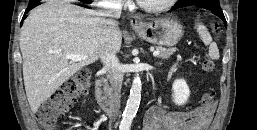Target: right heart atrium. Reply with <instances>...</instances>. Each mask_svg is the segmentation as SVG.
<instances>
[{
	"label": "right heart atrium",
	"instance_id": "obj_1",
	"mask_svg": "<svg viewBox=\"0 0 257 130\" xmlns=\"http://www.w3.org/2000/svg\"><path fill=\"white\" fill-rule=\"evenodd\" d=\"M128 0H106L104 3L111 7H122L126 5Z\"/></svg>",
	"mask_w": 257,
	"mask_h": 130
}]
</instances>
